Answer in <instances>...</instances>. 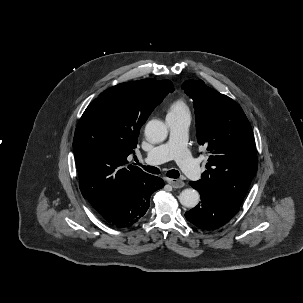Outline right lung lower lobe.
Listing matches in <instances>:
<instances>
[{
	"instance_id": "98d812e1",
	"label": "right lung lower lobe",
	"mask_w": 303,
	"mask_h": 303,
	"mask_svg": "<svg viewBox=\"0 0 303 303\" xmlns=\"http://www.w3.org/2000/svg\"><path fill=\"white\" fill-rule=\"evenodd\" d=\"M163 186L161 178L144 175L132 185L114 192L97 212L116 228L130 227L148 210L151 194Z\"/></svg>"
}]
</instances>
